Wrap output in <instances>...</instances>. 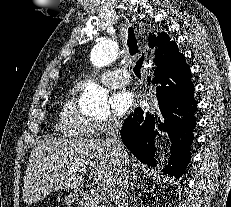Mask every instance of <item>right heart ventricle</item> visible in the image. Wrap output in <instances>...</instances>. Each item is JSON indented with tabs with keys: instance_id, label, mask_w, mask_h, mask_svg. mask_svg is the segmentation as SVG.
Segmentation results:
<instances>
[{
	"instance_id": "obj_1",
	"label": "right heart ventricle",
	"mask_w": 231,
	"mask_h": 207,
	"mask_svg": "<svg viewBox=\"0 0 231 207\" xmlns=\"http://www.w3.org/2000/svg\"><path fill=\"white\" fill-rule=\"evenodd\" d=\"M78 90L79 87H75L61 104L56 127L59 135L73 140L95 136L94 121L78 109L76 98Z\"/></svg>"
}]
</instances>
